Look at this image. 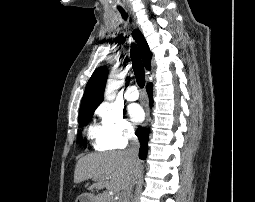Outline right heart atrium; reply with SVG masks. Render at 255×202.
<instances>
[{
	"label": "right heart atrium",
	"mask_w": 255,
	"mask_h": 202,
	"mask_svg": "<svg viewBox=\"0 0 255 202\" xmlns=\"http://www.w3.org/2000/svg\"><path fill=\"white\" fill-rule=\"evenodd\" d=\"M97 114L101 120V148H123L134 138V128L121 110L102 104L97 109Z\"/></svg>",
	"instance_id": "obj_1"
}]
</instances>
